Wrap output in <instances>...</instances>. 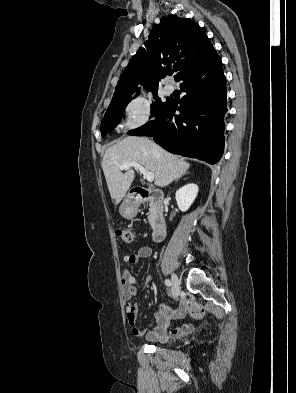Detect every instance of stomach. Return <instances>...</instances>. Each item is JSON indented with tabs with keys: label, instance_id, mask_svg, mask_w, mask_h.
<instances>
[{
	"label": "stomach",
	"instance_id": "obj_1",
	"mask_svg": "<svg viewBox=\"0 0 296 393\" xmlns=\"http://www.w3.org/2000/svg\"><path fill=\"white\" fill-rule=\"evenodd\" d=\"M119 212L122 217H124L126 219H131L136 216L137 210L131 202H129L128 200H125L121 204V206L119 208Z\"/></svg>",
	"mask_w": 296,
	"mask_h": 393
}]
</instances>
